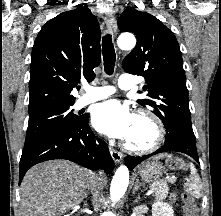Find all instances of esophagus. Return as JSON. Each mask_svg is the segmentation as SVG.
Returning <instances> with one entry per match:
<instances>
[{
    "label": "esophagus",
    "mask_w": 221,
    "mask_h": 216,
    "mask_svg": "<svg viewBox=\"0 0 221 216\" xmlns=\"http://www.w3.org/2000/svg\"><path fill=\"white\" fill-rule=\"evenodd\" d=\"M104 21L107 27L108 32H110L112 35H114L117 31V24H116V20L113 17V15L111 13H106L105 17H104ZM110 154L114 160V162L119 163L122 160V154L118 151H116L113 148H109Z\"/></svg>",
    "instance_id": "34e87169"
}]
</instances>
